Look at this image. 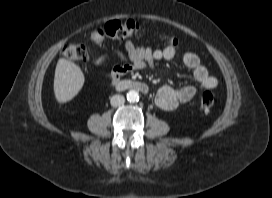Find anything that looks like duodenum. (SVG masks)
<instances>
[{
  "instance_id": "duodenum-1",
  "label": "duodenum",
  "mask_w": 272,
  "mask_h": 198,
  "mask_svg": "<svg viewBox=\"0 0 272 198\" xmlns=\"http://www.w3.org/2000/svg\"><path fill=\"white\" fill-rule=\"evenodd\" d=\"M117 90H127V89H133L140 91L144 94L148 93V86L146 83L136 80H123L117 83L116 85Z\"/></svg>"
}]
</instances>
